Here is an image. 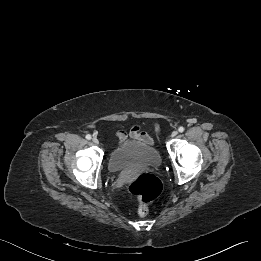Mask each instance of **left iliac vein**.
Here are the masks:
<instances>
[{
    "instance_id": "1",
    "label": "left iliac vein",
    "mask_w": 261,
    "mask_h": 261,
    "mask_svg": "<svg viewBox=\"0 0 261 261\" xmlns=\"http://www.w3.org/2000/svg\"><path fill=\"white\" fill-rule=\"evenodd\" d=\"M177 134H178V132H177V131H173V132L171 133V136H172V137H176V136H177Z\"/></svg>"
}]
</instances>
